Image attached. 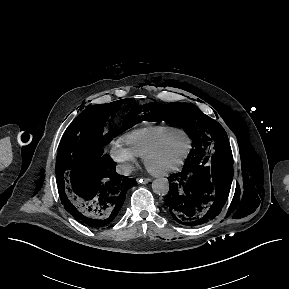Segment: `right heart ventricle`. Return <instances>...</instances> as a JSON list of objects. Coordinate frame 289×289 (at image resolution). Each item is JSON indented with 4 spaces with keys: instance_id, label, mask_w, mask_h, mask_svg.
<instances>
[{
    "instance_id": "right-heart-ventricle-1",
    "label": "right heart ventricle",
    "mask_w": 289,
    "mask_h": 289,
    "mask_svg": "<svg viewBox=\"0 0 289 289\" xmlns=\"http://www.w3.org/2000/svg\"><path fill=\"white\" fill-rule=\"evenodd\" d=\"M176 131L178 129L171 126H145L126 133L122 136L121 142L136 157H143L152 147Z\"/></svg>"
}]
</instances>
